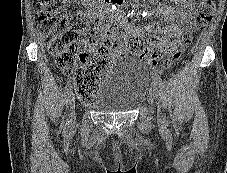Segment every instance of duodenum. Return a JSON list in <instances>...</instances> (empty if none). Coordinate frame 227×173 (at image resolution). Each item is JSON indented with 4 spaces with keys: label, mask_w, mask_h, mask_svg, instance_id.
<instances>
[{
    "label": "duodenum",
    "mask_w": 227,
    "mask_h": 173,
    "mask_svg": "<svg viewBox=\"0 0 227 173\" xmlns=\"http://www.w3.org/2000/svg\"><path fill=\"white\" fill-rule=\"evenodd\" d=\"M123 0H104L109 6L120 4Z\"/></svg>",
    "instance_id": "1"
}]
</instances>
